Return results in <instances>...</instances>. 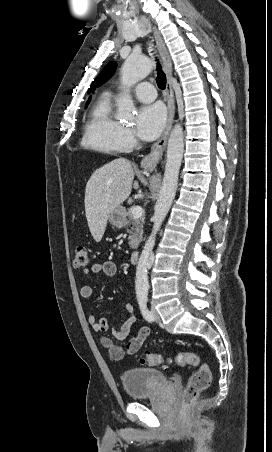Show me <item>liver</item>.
<instances>
[{
	"mask_svg": "<svg viewBox=\"0 0 272 452\" xmlns=\"http://www.w3.org/2000/svg\"><path fill=\"white\" fill-rule=\"evenodd\" d=\"M134 170L129 160L115 159L97 169L85 191V212L90 232L101 241L110 213L130 195Z\"/></svg>",
	"mask_w": 272,
	"mask_h": 452,
	"instance_id": "6515ba94",
	"label": "liver"
}]
</instances>
